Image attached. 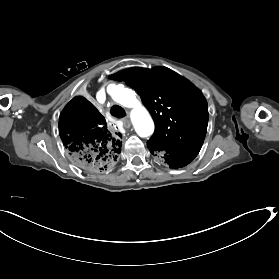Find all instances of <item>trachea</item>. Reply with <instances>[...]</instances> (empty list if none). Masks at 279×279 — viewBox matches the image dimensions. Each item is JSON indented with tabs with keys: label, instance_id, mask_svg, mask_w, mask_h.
Instances as JSON below:
<instances>
[{
	"label": "trachea",
	"instance_id": "trachea-1",
	"mask_svg": "<svg viewBox=\"0 0 279 279\" xmlns=\"http://www.w3.org/2000/svg\"><path fill=\"white\" fill-rule=\"evenodd\" d=\"M111 114L115 117H124L126 116L125 110L119 105H114L111 110Z\"/></svg>",
	"mask_w": 279,
	"mask_h": 279
}]
</instances>
